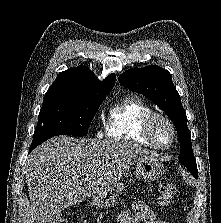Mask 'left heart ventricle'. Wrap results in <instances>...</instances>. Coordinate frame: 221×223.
<instances>
[{
  "mask_svg": "<svg viewBox=\"0 0 221 223\" xmlns=\"http://www.w3.org/2000/svg\"><path fill=\"white\" fill-rule=\"evenodd\" d=\"M154 136H155L156 140L162 145L169 144L171 141V137H172L168 126L162 121H157L155 123Z\"/></svg>",
  "mask_w": 221,
  "mask_h": 223,
  "instance_id": "b2bd125f",
  "label": "left heart ventricle"
}]
</instances>
